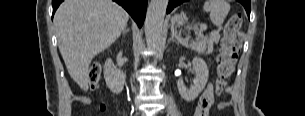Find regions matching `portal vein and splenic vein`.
I'll return each mask as SVG.
<instances>
[{
  "label": "portal vein and splenic vein",
  "mask_w": 305,
  "mask_h": 116,
  "mask_svg": "<svg viewBox=\"0 0 305 116\" xmlns=\"http://www.w3.org/2000/svg\"><path fill=\"white\" fill-rule=\"evenodd\" d=\"M200 29L201 30H206L207 29V25L206 24H200ZM184 42L187 43L188 40L186 39Z\"/></svg>",
  "instance_id": "1"
}]
</instances>
